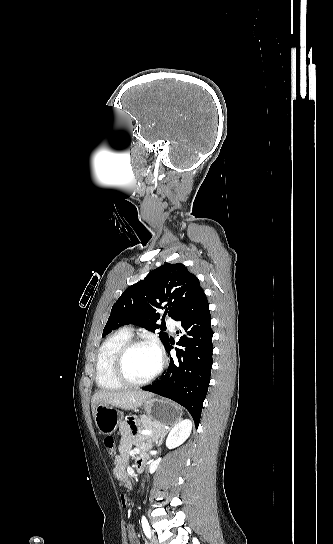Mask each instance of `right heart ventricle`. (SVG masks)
<instances>
[{"label": "right heart ventricle", "instance_id": "1", "mask_svg": "<svg viewBox=\"0 0 333 544\" xmlns=\"http://www.w3.org/2000/svg\"><path fill=\"white\" fill-rule=\"evenodd\" d=\"M131 332L120 329L110 334L100 345L95 364V380L100 389L117 390L123 385L113 375V360L119 348L129 339Z\"/></svg>", "mask_w": 333, "mask_h": 544}]
</instances>
